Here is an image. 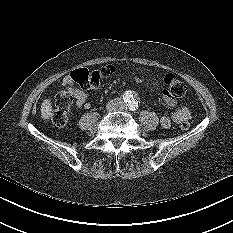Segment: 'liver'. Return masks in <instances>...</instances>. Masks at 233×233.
<instances>
[{"label": "liver", "instance_id": "obj_1", "mask_svg": "<svg viewBox=\"0 0 233 233\" xmlns=\"http://www.w3.org/2000/svg\"><path fill=\"white\" fill-rule=\"evenodd\" d=\"M52 103L49 99H45L41 105V116L44 120H48L52 116Z\"/></svg>", "mask_w": 233, "mask_h": 233}]
</instances>
